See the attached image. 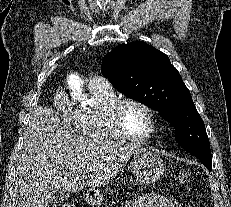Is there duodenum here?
<instances>
[{"label":"duodenum","mask_w":231,"mask_h":207,"mask_svg":"<svg viewBox=\"0 0 231 207\" xmlns=\"http://www.w3.org/2000/svg\"><path fill=\"white\" fill-rule=\"evenodd\" d=\"M96 198V194L93 192L87 193V200L92 202Z\"/></svg>","instance_id":"obj_1"}]
</instances>
